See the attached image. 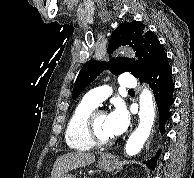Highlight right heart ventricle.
<instances>
[{
	"label": "right heart ventricle",
	"mask_w": 194,
	"mask_h": 178,
	"mask_svg": "<svg viewBox=\"0 0 194 178\" xmlns=\"http://www.w3.org/2000/svg\"><path fill=\"white\" fill-rule=\"evenodd\" d=\"M96 106L83 100L74 108L65 131L67 145L74 150L88 151L95 147L88 137L86 120Z\"/></svg>",
	"instance_id": "1"
}]
</instances>
